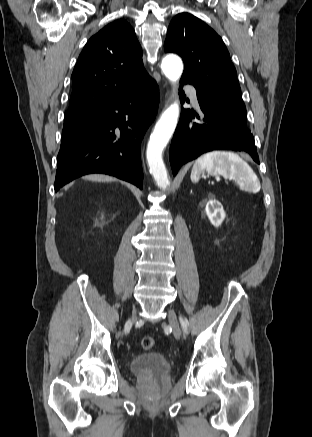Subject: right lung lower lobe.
I'll return each mask as SVG.
<instances>
[{"instance_id": "1", "label": "right lung lower lobe", "mask_w": 312, "mask_h": 437, "mask_svg": "<svg viewBox=\"0 0 312 437\" xmlns=\"http://www.w3.org/2000/svg\"><path fill=\"white\" fill-rule=\"evenodd\" d=\"M158 102V86L146 74L125 93L64 125L55 191L90 173L113 175L142 189L140 144Z\"/></svg>"}]
</instances>
